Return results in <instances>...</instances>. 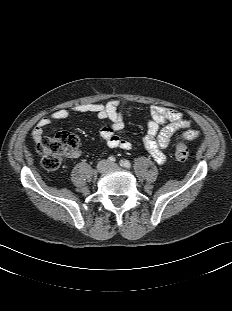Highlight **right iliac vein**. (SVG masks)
<instances>
[{"mask_svg": "<svg viewBox=\"0 0 232 311\" xmlns=\"http://www.w3.org/2000/svg\"><path fill=\"white\" fill-rule=\"evenodd\" d=\"M108 168H109V164L107 161H101L97 166V170L100 173L105 172Z\"/></svg>", "mask_w": 232, "mask_h": 311, "instance_id": "63e3f726", "label": "right iliac vein"}]
</instances>
